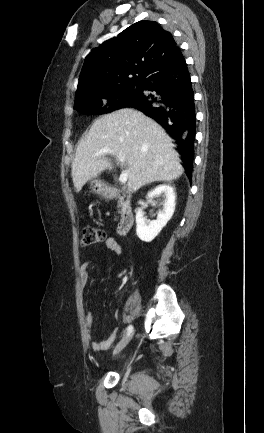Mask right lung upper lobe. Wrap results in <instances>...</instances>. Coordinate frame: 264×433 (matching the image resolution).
<instances>
[{"instance_id":"1","label":"right lung upper lobe","mask_w":264,"mask_h":433,"mask_svg":"<svg viewBox=\"0 0 264 433\" xmlns=\"http://www.w3.org/2000/svg\"><path fill=\"white\" fill-rule=\"evenodd\" d=\"M178 51L173 36L157 22L139 21L86 57L75 101L123 85L140 84L155 67Z\"/></svg>"}]
</instances>
